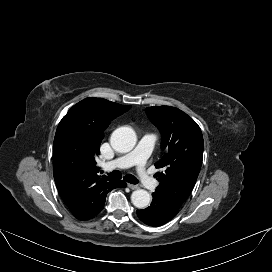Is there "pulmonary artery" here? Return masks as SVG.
<instances>
[{
	"mask_svg": "<svg viewBox=\"0 0 272 272\" xmlns=\"http://www.w3.org/2000/svg\"><path fill=\"white\" fill-rule=\"evenodd\" d=\"M157 139L155 134H147L141 138L136 148L111 162L104 165L105 169L136 167L141 184L148 190H154L158 182L148 172L147 160L152 152Z\"/></svg>",
	"mask_w": 272,
	"mask_h": 272,
	"instance_id": "1",
	"label": "pulmonary artery"
}]
</instances>
